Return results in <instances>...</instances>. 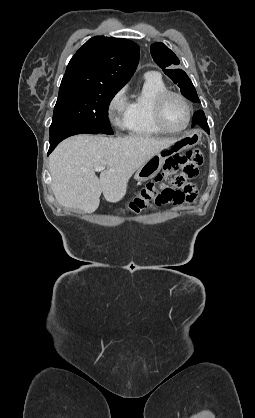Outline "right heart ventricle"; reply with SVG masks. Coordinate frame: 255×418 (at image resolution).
Wrapping results in <instances>:
<instances>
[{
	"label": "right heart ventricle",
	"mask_w": 255,
	"mask_h": 418,
	"mask_svg": "<svg viewBox=\"0 0 255 418\" xmlns=\"http://www.w3.org/2000/svg\"><path fill=\"white\" fill-rule=\"evenodd\" d=\"M164 81L159 77H145L141 91L130 102L127 129L135 136L162 134L153 118V102L156 96L166 91Z\"/></svg>",
	"instance_id": "e07e8e85"
}]
</instances>
